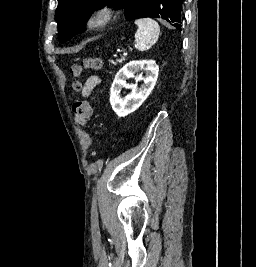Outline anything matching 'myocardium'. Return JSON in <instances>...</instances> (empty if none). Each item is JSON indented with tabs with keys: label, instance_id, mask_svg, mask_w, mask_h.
I'll return each instance as SVG.
<instances>
[{
	"label": "myocardium",
	"instance_id": "obj_1",
	"mask_svg": "<svg viewBox=\"0 0 256 267\" xmlns=\"http://www.w3.org/2000/svg\"><path fill=\"white\" fill-rule=\"evenodd\" d=\"M114 10L111 8H102L92 13L87 19L86 25L90 30H100L106 27L114 17Z\"/></svg>",
	"mask_w": 256,
	"mask_h": 267
}]
</instances>
